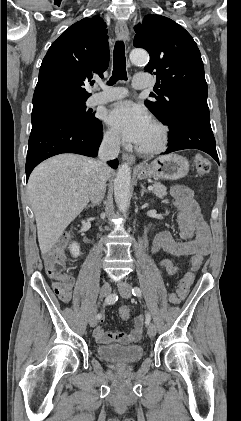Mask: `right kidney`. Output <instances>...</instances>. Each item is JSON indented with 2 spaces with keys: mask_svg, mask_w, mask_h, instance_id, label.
Wrapping results in <instances>:
<instances>
[{
  "mask_svg": "<svg viewBox=\"0 0 241 421\" xmlns=\"http://www.w3.org/2000/svg\"><path fill=\"white\" fill-rule=\"evenodd\" d=\"M69 249H70V252H71V254L73 255V257H78L79 256V254H80V246L78 245V243H76V242H73L71 245H70V247H69Z\"/></svg>",
  "mask_w": 241,
  "mask_h": 421,
  "instance_id": "1",
  "label": "right kidney"
}]
</instances>
